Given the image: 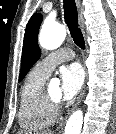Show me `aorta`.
Listing matches in <instances>:
<instances>
[{
	"mask_svg": "<svg viewBox=\"0 0 116 134\" xmlns=\"http://www.w3.org/2000/svg\"><path fill=\"white\" fill-rule=\"evenodd\" d=\"M66 37V29L57 22H45L40 34V46L47 50L58 48ZM83 124V112L75 111L68 119L64 134H80Z\"/></svg>",
	"mask_w": 116,
	"mask_h": 134,
	"instance_id": "obj_1",
	"label": "aorta"
}]
</instances>
